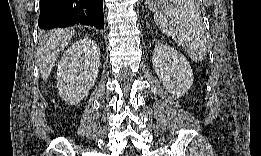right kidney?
I'll return each mask as SVG.
<instances>
[{
  "mask_svg": "<svg viewBox=\"0 0 261 156\" xmlns=\"http://www.w3.org/2000/svg\"><path fill=\"white\" fill-rule=\"evenodd\" d=\"M100 65V49L86 37L74 42L64 53L57 69V88L69 104H77L93 87Z\"/></svg>",
  "mask_w": 261,
  "mask_h": 156,
  "instance_id": "1",
  "label": "right kidney"
}]
</instances>
